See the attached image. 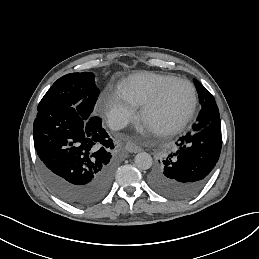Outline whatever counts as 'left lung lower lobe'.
Listing matches in <instances>:
<instances>
[{"label":"left lung lower lobe","mask_w":259,"mask_h":259,"mask_svg":"<svg viewBox=\"0 0 259 259\" xmlns=\"http://www.w3.org/2000/svg\"><path fill=\"white\" fill-rule=\"evenodd\" d=\"M178 150L149 175L151 188L166 197L186 199L207 183L221 151V122L216 104L201 109L192 129L176 142Z\"/></svg>","instance_id":"obj_1"}]
</instances>
